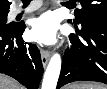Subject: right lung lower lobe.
<instances>
[{"label":"right lung lower lobe","instance_id":"1","mask_svg":"<svg viewBox=\"0 0 107 89\" xmlns=\"http://www.w3.org/2000/svg\"><path fill=\"white\" fill-rule=\"evenodd\" d=\"M25 26L0 25V73L9 75L28 89H37L44 69L36 45L25 43Z\"/></svg>","mask_w":107,"mask_h":89}]
</instances>
